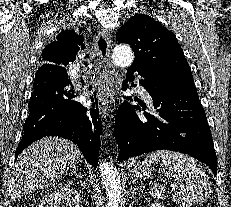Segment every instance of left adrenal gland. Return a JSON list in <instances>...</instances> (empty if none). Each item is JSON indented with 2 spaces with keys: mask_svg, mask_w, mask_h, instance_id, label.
Listing matches in <instances>:
<instances>
[{
  "mask_svg": "<svg viewBox=\"0 0 231 207\" xmlns=\"http://www.w3.org/2000/svg\"><path fill=\"white\" fill-rule=\"evenodd\" d=\"M137 191H138V188H134V189H133V192H132V193H133L132 195L135 196L136 193H137Z\"/></svg>",
  "mask_w": 231,
  "mask_h": 207,
  "instance_id": "1",
  "label": "left adrenal gland"
}]
</instances>
